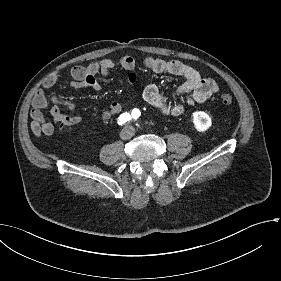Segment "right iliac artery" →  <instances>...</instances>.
I'll use <instances>...</instances> for the list:
<instances>
[{"label": "right iliac artery", "instance_id": "right-iliac-artery-1", "mask_svg": "<svg viewBox=\"0 0 281 281\" xmlns=\"http://www.w3.org/2000/svg\"><path fill=\"white\" fill-rule=\"evenodd\" d=\"M129 120H131V115L127 112L122 113L117 120V123L119 125H123L124 123L128 122Z\"/></svg>", "mask_w": 281, "mask_h": 281}]
</instances>
